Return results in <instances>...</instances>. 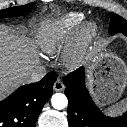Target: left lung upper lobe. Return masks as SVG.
Returning <instances> with one entry per match:
<instances>
[{
  "mask_svg": "<svg viewBox=\"0 0 127 127\" xmlns=\"http://www.w3.org/2000/svg\"><path fill=\"white\" fill-rule=\"evenodd\" d=\"M127 32V21L115 13H111V21L109 25V33L111 35L116 33Z\"/></svg>",
  "mask_w": 127,
  "mask_h": 127,
  "instance_id": "1",
  "label": "left lung upper lobe"
}]
</instances>
